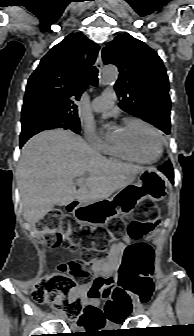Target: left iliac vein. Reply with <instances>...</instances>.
I'll return each mask as SVG.
<instances>
[{
    "label": "left iliac vein",
    "instance_id": "4c4485c4",
    "mask_svg": "<svg viewBox=\"0 0 194 336\" xmlns=\"http://www.w3.org/2000/svg\"><path fill=\"white\" fill-rule=\"evenodd\" d=\"M141 312L142 310L139 307H137V309L135 310V314H140Z\"/></svg>",
    "mask_w": 194,
    "mask_h": 336
}]
</instances>
